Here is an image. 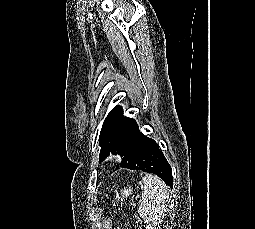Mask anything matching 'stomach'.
Segmentation results:
<instances>
[{
  "label": "stomach",
  "mask_w": 255,
  "mask_h": 229,
  "mask_svg": "<svg viewBox=\"0 0 255 229\" xmlns=\"http://www.w3.org/2000/svg\"><path fill=\"white\" fill-rule=\"evenodd\" d=\"M133 190L131 188H124L123 190H121L120 196L122 199H125L127 197H129L130 195H132Z\"/></svg>",
  "instance_id": "stomach-1"
}]
</instances>
